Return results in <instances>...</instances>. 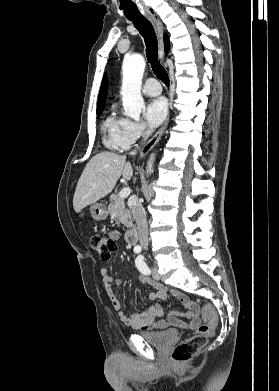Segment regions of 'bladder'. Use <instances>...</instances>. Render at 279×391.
Returning <instances> with one entry per match:
<instances>
[{
  "label": "bladder",
  "instance_id": "31cf9c89",
  "mask_svg": "<svg viewBox=\"0 0 279 391\" xmlns=\"http://www.w3.org/2000/svg\"><path fill=\"white\" fill-rule=\"evenodd\" d=\"M140 336L154 347L167 348L178 339L179 332L176 330L141 332Z\"/></svg>",
  "mask_w": 279,
  "mask_h": 391
}]
</instances>
